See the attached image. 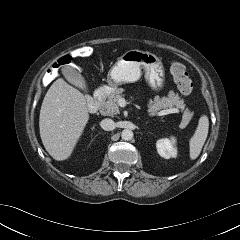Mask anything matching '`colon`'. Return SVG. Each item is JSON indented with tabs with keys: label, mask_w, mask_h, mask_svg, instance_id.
<instances>
[{
	"label": "colon",
	"mask_w": 240,
	"mask_h": 240,
	"mask_svg": "<svg viewBox=\"0 0 240 240\" xmlns=\"http://www.w3.org/2000/svg\"><path fill=\"white\" fill-rule=\"evenodd\" d=\"M92 54L90 47H80L70 54L60 57L54 64V68L69 65L74 58H86ZM170 72L178 90L183 95H190L193 90V83L189 78L186 67L179 61H172L170 65Z\"/></svg>",
	"instance_id": "1"
}]
</instances>
